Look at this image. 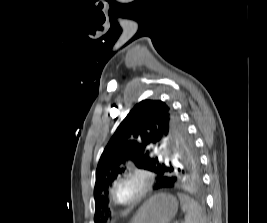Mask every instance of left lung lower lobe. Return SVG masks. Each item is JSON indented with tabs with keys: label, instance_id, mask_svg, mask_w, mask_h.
I'll list each match as a JSON object with an SVG mask.
<instances>
[{
	"label": "left lung lower lobe",
	"instance_id": "obj_1",
	"mask_svg": "<svg viewBox=\"0 0 267 223\" xmlns=\"http://www.w3.org/2000/svg\"><path fill=\"white\" fill-rule=\"evenodd\" d=\"M202 171H168L157 173L158 181L152 187V192H167V194H183V189H199Z\"/></svg>",
	"mask_w": 267,
	"mask_h": 223
}]
</instances>
